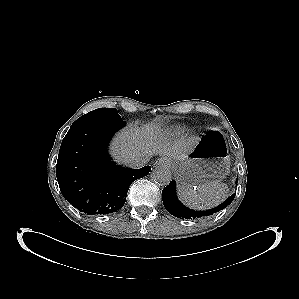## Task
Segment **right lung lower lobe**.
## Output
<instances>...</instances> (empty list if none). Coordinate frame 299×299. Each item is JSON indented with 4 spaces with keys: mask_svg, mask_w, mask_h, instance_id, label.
Masks as SVG:
<instances>
[{
    "mask_svg": "<svg viewBox=\"0 0 299 299\" xmlns=\"http://www.w3.org/2000/svg\"><path fill=\"white\" fill-rule=\"evenodd\" d=\"M125 121L71 126L64 137L56 165L63 197L88 215L113 213L123 207L129 186L151 171L123 168L113 163L107 145Z\"/></svg>",
    "mask_w": 299,
    "mask_h": 299,
    "instance_id": "obj_1",
    "label": "right lung lower lobe"
}]
</instances>
